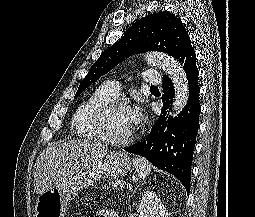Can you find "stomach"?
Segmentation results:
<instances>
[{"instance_id":"stomach-1","label":"stomach","mask_w":255,"mask_h":217,"mask_svg":"<svg viewBox=\"0 0 255 217\" xmlns=\"http://www.w3.org/2000/svg\"><path fill=\"white\" fill-rule=\"evenodd\" d=\"M131 166L132 161L126 153L121 151L107 153L100 162L69 177L60 186L39 194L34 217H64L72 194L99 180L125 176L131 170Z\"/></svg>"}]
</instances>
